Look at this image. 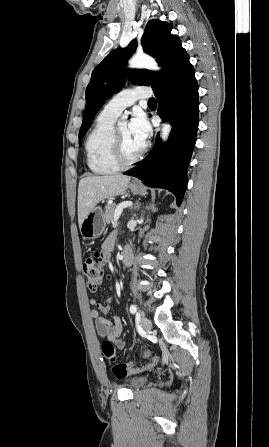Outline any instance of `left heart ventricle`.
Segmentation results:
<instances>
[{
	"label": "left heart ventricle",
	"instance_id": "b2bd125f",
	"mask_svg": "<svg viewBox=\"0 0 269 447\" xmlns=\"http://www.w3.org/2000/svg\"><path fill=\"white\" fill-rule=\"evenodd\" d=\"M117 135L123 146L126 159L134 158L144 148L145 143L133 136L128 125L117 128Z\"/></svg>",
	"mask_w": 269,
	"mask_h": 447
}]
</instances>
